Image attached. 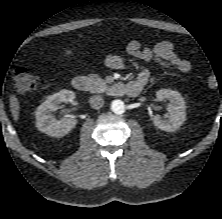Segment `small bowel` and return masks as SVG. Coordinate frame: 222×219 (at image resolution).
Masks as SVG:
<instances>
[{"mask_svg": "<svg viewBox=\"0 0 222 219\" xmlns=\"http://www.w3.org/2000/svg\"><path fill=\"white\" fill-rule=\"evenodd\" d=\"M127 51L132 56L144 60L155 61L163 66H171L181 73H188L191 70V63L180 57L174 50V47L169 41H160L152 47H143L137 40H132L127 46ZM70 51L66 52L69 55ZM105 64L116 70H122L125 67L123 59L118 55H107ZM148 74L141 73L135 80L144 85L147 82Z\"/></svg>", "mask_w": 222, "mask_h": 219, "instance_id": "c3829d8e", "label": "small bowel"}]
</instances>
